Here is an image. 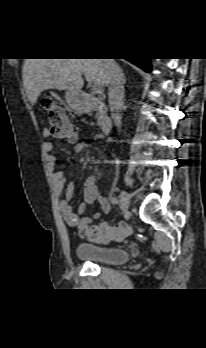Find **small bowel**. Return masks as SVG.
Masks as SVG:
<instances>
[{"mask_svg": "<svg viewBox=\"0 0 206 348\" xmlns=\"http://www.w3.org/2000/svg\"><path fill=\"white\" fill-rule=\"evenodd\" d=\"M42 136L45 140L44 150L47 153V161L52 169V179L56 190L59 193H64V198L60 202V209L66 224L79 232L91 225L94 219L100 217L101 213H109L111 210V203L104 198L96 184V178L90 176L86 178L82 185V202L77 206H73V201L76 196V187L74 184L66 186L65 177L62 172L55 170L56 158L52 155L53 144L48 141L50 137L49 130H43ZM89 148L85 142H78L74 146L76 154H81ZM95 201L100 204L101 211L94 213L92 216L81 217L87 211V206Z\"/></svg>", "mask_w": 206, "mask_h": 348, "instance_id": "small-bowel-1", "label": "small bowel"}]
</instances>
